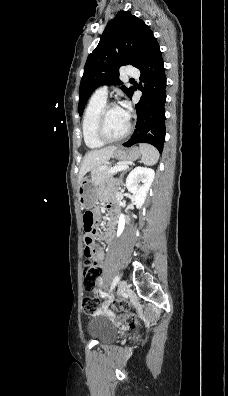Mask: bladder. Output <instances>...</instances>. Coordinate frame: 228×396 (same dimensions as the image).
<instances>
[{
	"mask_svg": "<svg viewBox=\"0 0 228 396\" xmlns=\"http://www.w3.org/2000/svg\"><path fill=\"white\" fill-rule=\"evenodd\" d=\"M87 332L100 343L113 341L118 335V329L102 317L91 318L87 323Z\"/></svg>",
	"mask_w": 228,
	"mask_h": 396,
	"instance_id": "obj_1",
	"label": "bladder"
}]
</instances>
